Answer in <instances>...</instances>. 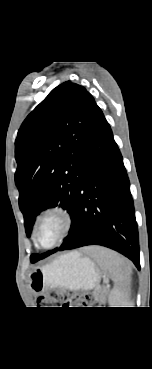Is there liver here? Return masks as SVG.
Returning <instances> with one entry per match:
<instances>
[{
	"mask_svg": "<svg viewBox=\"0 0 152 369\" xmlns=\"http://www.w3.org/2000/svg\"><path fill=\"white\" fill-rule=\"evenodd\" d=\"M96 249L95 248H91L90 251H95Z\"/></svg>",
	"mask_w": 152,
	"mask_h": 369,
	"instance_id": "1",
	"label": "liver"
}]
</instances>
